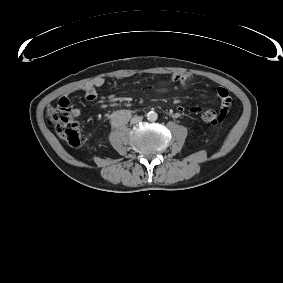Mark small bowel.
Masks as SVG:
<instances>
[{"instance_id": "obj_1", "label": "small bowel", "mask_w": 283, "mask_h": 283, "mask_svg": "<svg viewBox=\"0 0 283 283\" xmlns=\"http://www.w3.org/2000/svg\"><path fill=\"white\" fill-rule=\"evenodd\" d=\"M191 79H192V76L188 73H174L170 76L168 80V84L173 85V84L178 83L182 87L187 88ZM104 83L105 81L103 78L101 77L94 78L74 88L71 91V93L81 92L85 95V98L88 101H94L97 98V89L103 86ZM217 96L219 97L220 102H221V109H225L227 111V109H229L231 105V99H230L229 92L225 88L221 87V88H218L217 90ZM184 111H185V108L183 106H178L177 112L179 114L183 113ZM201 111H202V107L198 105H194L189 108V112L192 114H199ZM72 115L73 117L78 118L81 115L80 109L78 108L72 109Z\"/></svg>"}]
</instances>
